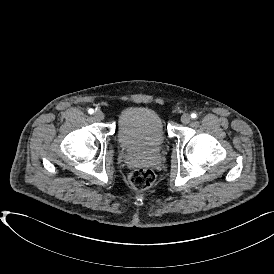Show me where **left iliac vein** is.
<instances>
[{"label": "left iliac vein", "mask_w": 274, "mask_h": 274, "mask_svg": "<svg viewBox=\"0 0 274 274\" xmlns=\"http://www.w3.org/2000/svg\"><path fill=\"white\" fill-rule=\"evenodd\" d=\"M191 121V116L188 113H185L181 116V122L183 124H188Z\"/></svg>", "instance_id": "obj_1"}]
</instances>
